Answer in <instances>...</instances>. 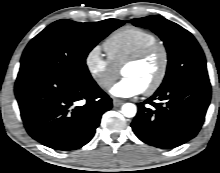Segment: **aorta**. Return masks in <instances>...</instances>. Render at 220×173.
<instances>
[{"instance_id": "obj_1", "label": "aorta", "mask_w": 220, "mask_h": 173, "mask_svg": "<svg viewBox=\"0 0 220 173\" xmlns=\"http://www.w3.org/2000/svg\"><path fill=\"white\" fill-rule=\"evenodd\" d=\"M121 112L125 117L132 118L136 115L137 108L132 103H126L122 106Z\"/></svg>"}]
</instances>
